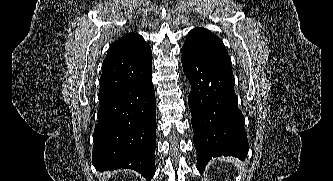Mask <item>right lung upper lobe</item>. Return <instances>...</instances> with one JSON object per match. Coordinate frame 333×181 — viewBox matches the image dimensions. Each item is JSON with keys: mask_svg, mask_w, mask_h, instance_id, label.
<instances>
[{"mask_svg": "<svg viewBox=\"0 0 333 181\" xmlns=\"http://www.w3.org/2000/svg\"><path fill=\"white\" fill-rule=\"evenodd\" d=\"M152 75V52L144 38L128 33L114 42L103 61L99 101Z\"/></svg>", "mask_w": 333, "mask_h": 181, "instance_id": "1", "label": "right lung upper lobe"}]
</instances>
